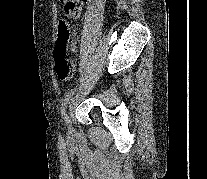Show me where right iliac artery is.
I'll list each match as a JSON object with an SVG mask.
<instances>
[{"instance_id":"1","label":"right iliac artery","mask_w":207,"mask_h":179,"mask_svg":"<svg viewBox=\"0 0 207 179\" xmlns=\"http://www.w3.org/2000/svg\"><path fill=\"white\" fill-rule=\"evenodd\" d=\"M72 91L68 93V95L65 97L63 103H62V107H61V115H62V118L66 121V123H68V116L66 114V108H67V104L69 102V99L71 98L72 96Z\"/></svg>"}]
</instances>
